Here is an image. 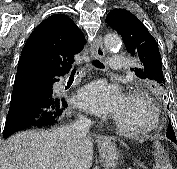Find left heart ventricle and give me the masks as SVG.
Returning <instances> with one entry per match:
<instances>
[{
    "instance_id": "left-heart-ventricle-1",
    "label": "left heart ventricle",
    "mask_w": 177,
    "mask_h": 169,
    "mask_svg": "<svg viewBox=\"0 0 177 169\" xmlns=\"http://www.w3.org/2000/svg\"><path fill=\"white\" fill-rule=\"evenodd\" d=\"M115 118L122 124L132 128L146 125L149 122L148 111L141 103L128 99H125Z\"/></svg>"
}]
</instances>
